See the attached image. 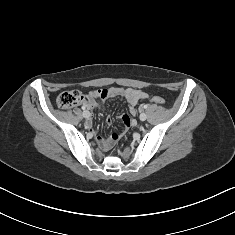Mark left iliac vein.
I'll return each instance as SVG.
<instances>
[{
  "instance_id": "1",
  "label": "left iliac vein",
  "mask_w": 235,
  "mask_h": 235,
  "mask_svg": "<svg viewBox=\"0 0 235 235\" xmlns=\"http://www.w3.org/2000/svg\"><path fill=\"white\" fill-rule=\"evenodd\" d=\"M146 118H147V115H146L145 113H141V115H140V120H141V121H145Z\"/></svg>"
}]
</instances>
